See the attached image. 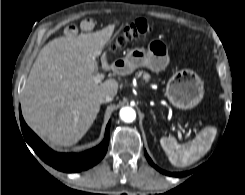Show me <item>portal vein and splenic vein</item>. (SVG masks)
Returning <instances> with one entry per match:
<instances>
[{"label": "portal vein and splenic vein", "mask_w": 245, "mask_h": 195, "mask_svg": "<svg viewBox=\"0 0 245 195\" xmlns=\"http://www.w3.org/2000/svg\"><path fill=\"white\" fill-rule=\"evenodd\" d=\"M103 78H104L103 74H97L96 76H94L93 80L96 84H99Z\"/></svg>", "instance_id": "obj_1"}]
</instances>
